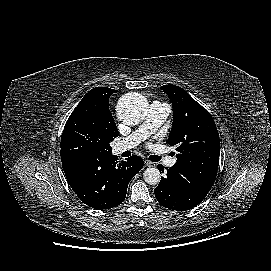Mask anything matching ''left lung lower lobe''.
<instances>
[{"instance_id": "left-lung-lower-lobe-1", "label": "left lung lower lobe", "mask_w": 271, "mask_h": 271, "mask_svg": "<svg viewBox=\"0 0 271 271\" xmlns=\"http://www.w3.org/2000/svg\"><path fill=\"white\" fill-rule=\"evenodd\" d=\"M158 169L160 173L164 171L162 165H158ZM166 169V177H161L154 192L158 202L168 209L177 211L192 209L206 197L211 189V185L176 165Z\"/></svg>"}]
</instances>
